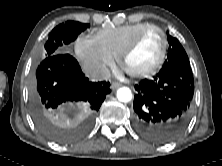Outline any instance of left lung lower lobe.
Instances as JSON below:
<instances>
[{
  "instance_id": "1",
  "label": "left lung lower lobe",
  "mask_w": 222,
  "mask_h": 166,
  "mask_svg": "<svg viewBox=\"0 0 222 166\" xmlns=\"http://www.w3.org/2000/svg\"><path fill=\"white\" fill-rule=\"evenodd\" d=\"M135 128L146 139L164 144L176 139L190 119L194 79L190 64L163 67L153 79L135 85Z\"/></svg>"
}]
</instances>
